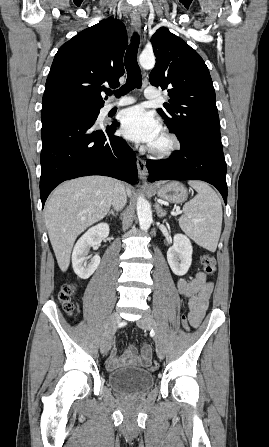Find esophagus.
<instances>
[{
	"instance_id": "obj_1",
	"label": "esophagus",
	"mask_w": 269,
	"mask_h": 447,
	"mask_svg": "<svg viewBox=\"0 0 269 447\" xmlns=\"http://www.w3.org/2000/svg\"><path fill=\"white\" fill-rule=\"evenodd\" d=\"M130 18H131L132 25L137 29L138 32H140V30H141L140 15H131ZM137 170H138L139 179L143 182L146 181V178H147L146 161L139 156L137 157Z\"/></svg>"
}]
</instances>
